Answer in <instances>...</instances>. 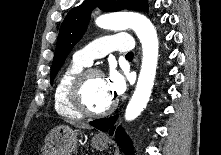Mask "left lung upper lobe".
<instances>
[{"instance_id":"obj_1","label":"left lung upper lobe","mask_w":221,"mask_h":155,"mask_svg":"<svg viewBox=\"0 0 221 155\" xmlns=\"http://www.w3.org/2000/svg\"><path fill=\"white\" fill-rule=\"evenodd\" d=\"M96 5L105 12L124 9L145 12L148 10V3L146 0H98L96 2L95 0H86L79 6L71 9L59 31L51 69L50 83L53 82L69 52L86 31L91 11Z\"/></svg>"}]
</instances>
